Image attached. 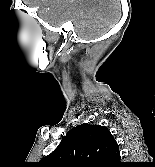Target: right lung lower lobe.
<instances>
[{"label":"right lung lower lobe","mask_w":155,"mask_h":167,"mask_svg":"<svg viewBox=\"0 0 155 167\" xmlns=\"http://www.w3.org/2000/svg\"><path fill=\"white\" fill-rule=\"evenodd\" d=\"M125 166H127L125 163H120L119 165H117L116 167H125Z\"/></svg>","instance_id":"1"}]
</instances>
